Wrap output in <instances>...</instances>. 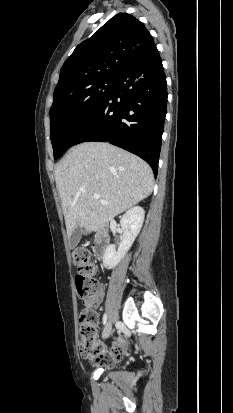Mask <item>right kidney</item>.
Here are the masks:
<instances>
[{"label":"right kidney","instance_id":"1","mask_svg":"<svg viewBox=\"0 0 233 413\" xmlns=\"http://www.w3.org/2000/svg\"><path fill=\"white\" fill-rule=\"evenodd\" d=\"M145 217V211L140 206L130 208L120 219L122 241L116 251L115 245L110 244L103 255V265L112 269L125 257L134 240L139 234Z\"/></svg>","mask_w":233,"mask_h":413}]
</instances>
